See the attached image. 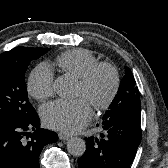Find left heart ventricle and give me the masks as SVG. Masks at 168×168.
Instances as JSON below:
<instances>
[{"label": "left heart ventricle", "mask_w": 168, "mask_h": 168, "mask_svg": "<svg viewBox=\"0 0 168 168\" xmlns=\"http://www.w3.org/2000/svg\"><path fill=\"white\" fill-rule=\"evenodd\" d=\"M111 78L107 71H100L88 89L80 83L77 85V96L84 97L89 103L102 100L110 90Z\"/></svg>", "instance_id": "left-heart-ventricle-1"}]
</instances>
